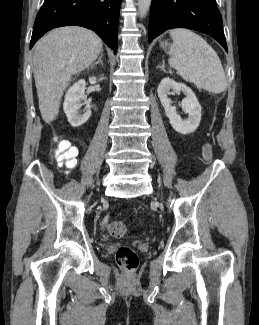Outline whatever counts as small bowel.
Instances as JSON below:
<instances>
[{"mask_svg": "<svg viewBox=\"0 0 259 325\" xmlns=\"http://www.w3.org/2000/svg\"><path fill=\"white\" fill-rule=\"evenodd\" d=\"M69 143V142H68ZM70 144V143H69ZM71 145V144H70ZM71 147L73 148V149H75V151L77 152V148L76 147H74V146H72L71 145Z\"/></svg>", "mask_w": 259, "mask_h": 325, "instance_id": "obj_1", "label": "small bowel"}]
</instances>
